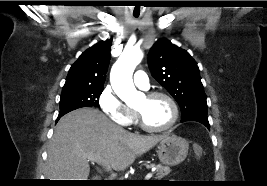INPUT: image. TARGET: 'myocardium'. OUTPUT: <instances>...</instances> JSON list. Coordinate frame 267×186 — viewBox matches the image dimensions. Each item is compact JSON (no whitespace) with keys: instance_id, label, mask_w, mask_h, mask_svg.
Listing matches in <instances>:
<instances>
[{"instance_id":"1","label":"myocardium","mask_w":267,"mask_h":186,"mask_svg":"<svg viewBox=\"0 0 267 186\" xmlns=\"http://www.w3.org/2000/svg\"><path fill=\"white\" fill-rule=\"evenodd\" d=\"M145 97L147 99H152V98H156V97L165 98L170 103V106L172 109V116H171L170 121L165 126L155 128V127L148 126L145 123L142 114L138 110H135V116H136V120L138 122L139 127L142 130H144L146 132H150V133H161V132H165V131H168L169 129H171L176 124V122L178 121V118H179V108H178V105H177L176 101L174 100V98L171 95H169L168 93L162 92V91L149 92L145 95Z\"/></svg>"}]
</instances>
